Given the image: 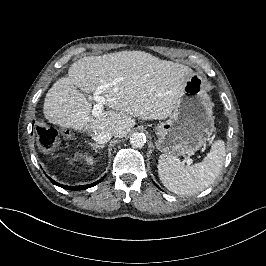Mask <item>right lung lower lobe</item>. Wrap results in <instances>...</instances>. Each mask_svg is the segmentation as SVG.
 <instances>
[{
    "mask_svg": "<svg viewBox=\"0 0 266 266\" xmlns=\"http://www.w3.org/2000/svg\"><path fill=\"white\" fill-rule=\"evenodd\" d=\"M103 179H104V177H102L100 180L96 181L95 183H92V184H89V185H82V186H65V185H61V184L55 182L52 179H50V180L55 185L60 186V187L65 188V189H69V190H83V189H87L89 187L95 186L96 184L100 183Z\"/></svg>",
    "mask_w": 266,
    "mask_h": 266,
    "instance_id": "1",
    "label": "right lung lower lobe"
}]
</instances>
